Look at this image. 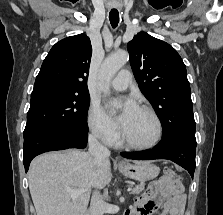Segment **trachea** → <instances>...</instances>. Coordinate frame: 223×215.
<instances>
[{
  "label": "trachea",
  "instance_id": "obj_1",
  "mask_svg": "<svg viewBox=\"0 0 223 215\" xmlns=\"http://www.w3.org/2000/svg\"><path fill=\"white\" fill-rule=\"evenodd\" d=\"M109 20L113 28L117 27L119 22V14L117 10H111L109 13Z\"/></svg>",
  "mask_w": 223,
  "mask_h": 215
}]
</instances>
